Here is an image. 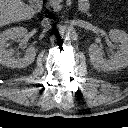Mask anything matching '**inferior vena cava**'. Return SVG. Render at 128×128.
Masks as SVG:
<instances>
[{"instance_id":"1","label":"inferior vena cava","mask_w":128,"mask_h":128,"mask_svg":"<svg viewBox=\"0 0 128 128\" xmlns=\"http://www.w3.org/2000/svg\"><path fill=\"white\" fill-rule=\"evenodd\" d=\"M51 23H52V20L49 19V18H44V19L41 21V24H42V26H44V27L49 26Z\"/></svg>"}]
</instances>
